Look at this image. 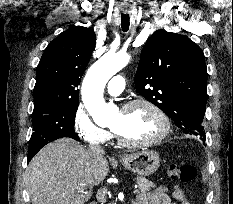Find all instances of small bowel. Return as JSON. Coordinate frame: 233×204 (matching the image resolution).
<instances>
[{
    "instance_id": "obj_1",
    "label": "small bowel",
    "mask_w": 233,
    "mask_h": 204,
    "mask_svg": "<svg viewBox=\"0 0 233 204\" xmlns=\"http://www.w3.org/2000/svg\"><path fill=\"white\" fill-rule=\"evenodd\" d=\"M134 204H191L188 197L180 188L172 192L166 186L141 193L137 196Z\"/></svg>"
}]
</instances>
